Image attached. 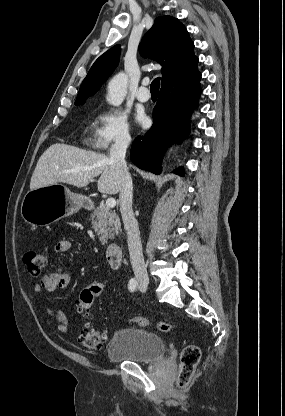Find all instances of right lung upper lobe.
I'll use <instances>...</instances> for the list:
<instances>
[{
  "mask_svg": "<svg viewBox=\"0 0 285 416\" xmlns=\"http://www.w3.org/2000/svg\"><path fill=\"white\" fill-rule=\"evenodd\" d=\"M193 49L194 43L186 28L171 16L157 17L139 45L143 57L152 58L162 65V86L198 71V58ZM119 56L120 46L116 45L94 62L80 86L75 105H83L98 91L117 67Z\"/></svg>",
  "mask_w": 285,
  "mask_h": 416,
  "instance_id": "1",
  "label": "right lung upper lobe"
}]
</instances>
